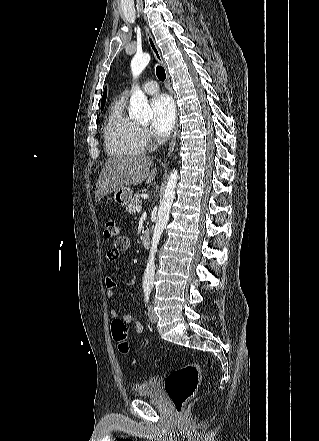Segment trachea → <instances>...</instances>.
Returning <instances> with one entry per match:
<instances>
[{"label": "trachea", "instance_id": "obj_1", "mask_svg": "<svg viewBox=\"0 0 319 441\" xmlns=\"http://www.w3.org/2000/svg\"><path fill=\"white\" fill-rule=\"evenodd\" d=\"M156 75L160 81H164L166 79L165 70L162 66L158 65L156 67Z\"/></svg>", "mask_w": 319, "mask_h": 441}]
</instances>
